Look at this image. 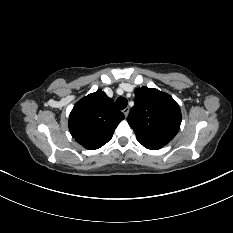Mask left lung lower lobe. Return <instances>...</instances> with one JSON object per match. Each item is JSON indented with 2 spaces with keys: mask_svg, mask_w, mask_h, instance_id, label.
Returning <instances> with one entry per match:
<instances>
[{
  "mask_svg": "<svg viewBox=\"0 0 233 233\" xmlns=\"http://www.w3.org/2000/svg\"><path fill=\"white\" fill-rule=\"evenodd\" d=\"M161 147H158V146H151V147H148V149H151V150H157V149H160Z\"/></svg>",
  "mask_w": 233,
  "mask_h": 233,
  "instance_id": "left-lung-lower-lobe-1",
  "label": "left lung lower lobe"
}]
</instances>
